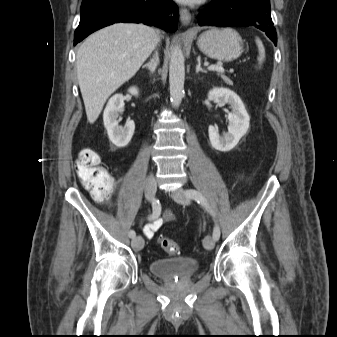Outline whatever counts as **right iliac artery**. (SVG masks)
<instances>
[{"label":"right iliac artery","mask_w":337,"mask_h":337,"mask_svg":"<svg viewBox=\"0 0 337 337\" xmlns=\"http://www.w3.org/2000/svg\"><path fill=\"white\" fill-rule=\"evenodd\" d=\"M152 209H153V213L149 217V219H155V218H157L160 215L161 204H160L159 200H157V199H153L152 200ZM135 236H136L135 231L134 230H130L129 237L130 238H134Z\"/></svg>","instance_id":"82829eb1"}]
</instances>
